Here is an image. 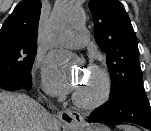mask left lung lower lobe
<instances>
[{
    "instance_id": "1",
    "label": "left lung lower lobe",
    "mask_w": 151,
    "mask_h": 131,
    "mask_svg": "<svg viewBox=\"0 0 151 131\" xmlns=\"http://www.w3.org/2000/svg\"><path fill=\"white\" fill-rule=\"evenodd\" d=\"M89 123L129 122L151 130V107L143 84H133L109 98L89 116Z\"/></svg>"
}]
</instances>
